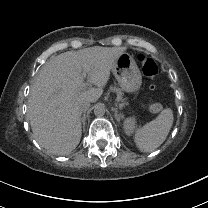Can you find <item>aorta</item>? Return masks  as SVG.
<instances>
[{
  "label": "aorta",
  "mask_w": 208,
  "mask_h": 208,
  "mask_svg": "<svg viewBox=\"0 0 208 208\" xmlns=\"http://www.w3.org/2000/svg\"><path fill=\"white\" fill-rule=\"evenodd\" d=\"M94 114L97 117H102L105 114V106L104 104H97L94 107Z\"/></svg>",
  "instance_id": "762f6f07"
}]
</instances>
